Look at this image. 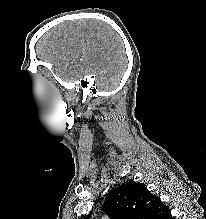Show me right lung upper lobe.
Listing matches in <instances>:
<instances>
[{
    "label": "right lung upper lobe",
    "instance_id": "right-lung-upper-lobe-1",
    "mask_svg": "<svg viewBox=\"0 0 206 219\" xmlns=\"http://www.w3.org/2000/svg\"><path fill=\"white\" fill-rule=\"evenodd\" d=\"M101 210L110 219H173L169 208L156 195L132 180L112 190Z\"/></svg>",
    "mask_w": 206,
    "mask_h": 219
}]
</instances>
